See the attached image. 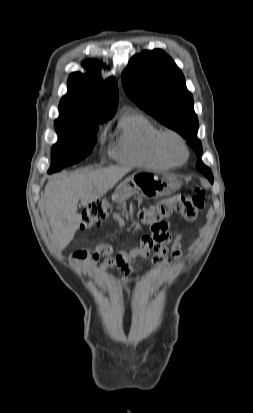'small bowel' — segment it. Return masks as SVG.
<instances>
[{"mask_svg":"<svg viewBox=\"0 0 253 413\" xmlns=\"http://www.w3.org/2000/svg\"><path fill=\"white\" fill-rule=\"evenodd\" d=\"M118 223L122 222L119 214L113 216ZM171 246V247H170ZM155 254L152 258L155 265H163L169 261V253L177 257L180 254V237L173 238L168 230V223H164L159 228H152V234L144 236L139 248L131 252H120L115 257L111 256L112 248L107 245H98L94 249H77L72 255L71 260L81 261L86 266H91L99 261L100 256L106 255L100 267L103 270L117 266L125 276L129 275V266L135 257H148L151 251Z\"/></svg>","mask_w":253,"mask_h":413,"instance_id":"obj_1","label":"small bowel"}]
</instances>
